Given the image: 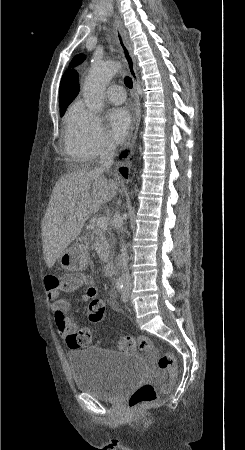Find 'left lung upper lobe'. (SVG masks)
<instances>
[{"instance_id":"obj_1","label":"left lung upper lobe","mask_w":245,"mask_h":450,"mask_svg":"<svg viewBox=\"0 0 245 450\" xmlns=\"http://www.w3.org/2000/svg\"><path fill=\"white\" fill-rule=\"evenodd\" d=\"M84 59H85L84 55H82V54L77 55L73 58L71 65L76 66V65L80 64L81 62H83Z\"/></svg>"}]
</instances>
